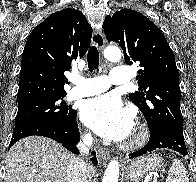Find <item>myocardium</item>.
Here are the masks:
<instances>
[{"instance_id":"obj_1","label":"myocardium","mask_w":196,"mask_h":182,"mask_svg":"<svg viewBox=\"0 0 196 182\" xmlns=\"http://www.w3.org/2000/svg\"><path fill=\"white\" fill-rule=\"evenodd\" d=\"M148 138V131L142 124H137L131 138L124 143L123 147L126 149H136L141 147Z\"/></svg>"}]
</instances>
